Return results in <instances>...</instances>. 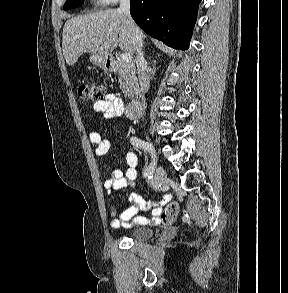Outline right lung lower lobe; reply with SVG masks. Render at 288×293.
I'll return each instance as SVG.
<instances>
[{"label":"right lung lower lobe","mask_w":288,"mask_h":293,"mask_svg":"<svg viewBox=\"0 0 288 293\" xmlns=\"http://www.w3.org/2000/svg\"><path fill=\"white\" fill-rule=\"evenodd\" d=\"M201 0H130L134 21L175 49H188Z\"/></svg>","instance_id":"right-lung-lower-lobe-1"}]
</instances>
